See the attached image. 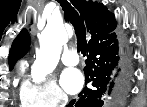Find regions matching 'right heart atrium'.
<instances>
[{
    "mask_svg": "<svg viewBox=\"0 0 147 107\" xmlns=\"http://www.w3.org/2000/svg\"><path fill=\"white\" fill-rule=\"evenodd\" d=\"M22 102L40 107L64 106L68 101L67 94L52 79L42 84H35L26 78L20 91Z\"/></svg>",
    "mask_w": 147,
    "mask_h": 107,
    "instance_id": "obj_1",
    "label": "right heart atrium"
}]
</instances>
